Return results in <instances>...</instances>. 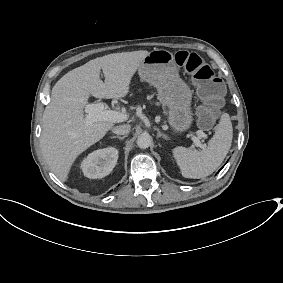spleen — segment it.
I'll return each mask as SVG.
<instances>
[{
	"mask_svg": "<svg viewBox=\"0 0 283 283\" xmlns=\"http://www.w3.org/2000/svg\"><path fill=\"white\" fill-rule=\"evenodd\" d=\"M233 138V127L228 113H223L215 134L207 148L198 151L185 147L173 149V156L185 178L200 179L212 174L224 161Z\"/></svg>",
	"mask_w": 283,
	"mask_h": 283,
	"instance_id": "spleen-1",
	"label": "spleen"
}]
</instances>
